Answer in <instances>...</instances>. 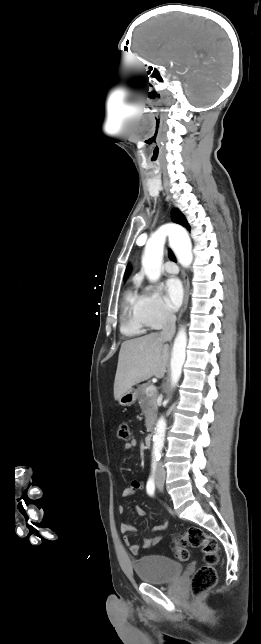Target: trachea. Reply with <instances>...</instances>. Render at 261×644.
<instances>
[{
    "label": "trachea",
    "instance_id": "trachea-1",
    "mask_svg": "<svg viewBox=\"0 0 261 644\" xmlns=\"http://www.w3.org/2000/svg\"><path fill=\"white\" fill-rule=\"evenodd\" d=\"M168 253H169V258H170L172 261H176L175 255H174V253L172 252V250H170V249H169V252H168Z\"/></svg>",
    "mask_w": 261,
    "mask_h": 644
}]
</instances>
